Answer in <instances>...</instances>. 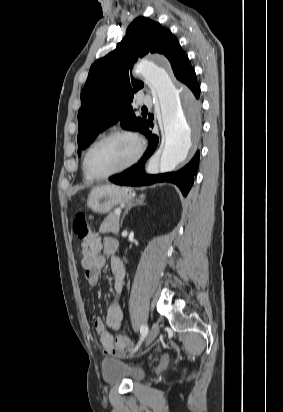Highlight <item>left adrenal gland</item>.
Segmentation results:
<instances>
[{"instance_id": "left-adrenal-gland-1", "label": "left adrenal gland", "mask_w": 283, "mask_h": 412, "mask_svg": "<svg viewBox=\"0 0 283 412\" xmlns=\"http://www.w3.org/2000/svg\"><path fill=\"white\" fill-rule=\"evenodd\" d=\"M143 204H144V203H143V200H140V199L135 200V201H132L131 203H129V204L127 205L126 209H125V212L123 213L120 226H122L125 216L128 214V211H129L132 207H135V206H137V205H143Z\"/></svg>"}]
</instances>
